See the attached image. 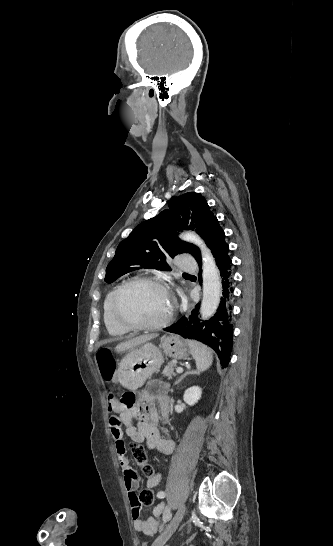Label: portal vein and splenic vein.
<instances>
[{
  "mask_svg": "<svg viewBox=\"0 0 333 546\" xmlns=\"http://www.w3.org/2000/svg\"><path fill=\"white\" fill-rule=\"evenodd\" d=\"M176 372H177V373H182V372H183V368H181V367L177 368V369H176Z\"/></svg>",
  "mask_w": 333,
  "mask_h": 546,
  "instance_id": "obj_1",
  "label": "portal vein and splenic vein"
}]
</instances>
